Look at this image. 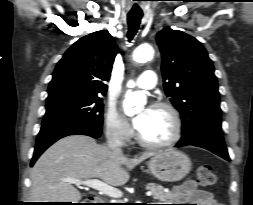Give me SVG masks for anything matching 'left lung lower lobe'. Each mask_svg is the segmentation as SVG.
I'll list each match as a JSON object with an SVG mask.
<instances>
[{
    "mask_svg": "<svg viewBox=\"0 0 253 205\" xmlns=\"http://www.w3.org/2000/svg\"><path fill=\"white\" fill-rule=\"evenodd\" d=\"M186 145H193L207 149L227 161H230L223 134L220 131L204 130L189 142L179 141L176 147Z\"/></svg>",
    "mask_w": 253,
    "mask_h": 205,
    "instance_id": "left-lung-lower-lobe-1",
    "label": "left lung lower lobe"
}]
</instances>
